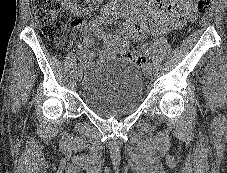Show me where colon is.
Segmentation results:
<instances>
[{"instance_id":"obj_1","label":"colon","mask_w":227,"mask_h":173,"mask_svg":"<svg viewBox=\"0 0 227 173\" xmlns=\"http://www.w3.org/2000/svg\"><path fill=\"white\" fill-rule=\"evenodd\" d=\"M36 20L43 35L53 41L62 42L69 27L79 28L81 20L71 21L68 14L61 10L60 0H31ZM213 0H197L196 8L200 13H208ZM125 57L136 62L144 59L138 52H129Z\"/></svg>"}]
</instances>
